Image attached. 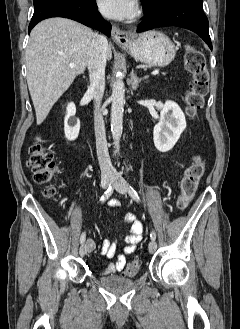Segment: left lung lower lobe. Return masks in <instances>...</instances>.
Listing matches in <instances>:
<instances>
[{
    "label": "left lung lower lobe",
    "mask_w": 240,
    "mask_h": 329,
    "mask_svg": "<svg viewBox=\"0 0 240 329\" xmlns=\"http://www.w3.org/2000/svg\"><path fill=\"white\" fill-rule=\"evenodd\" d=\"M142 5L144 17L137 27V32L178 26L197 33L212 50L208 19L203 12L202 0H164L153 4L142 1Z\"/></svg>",
    "instance_id": "1"
}]
</instances>
